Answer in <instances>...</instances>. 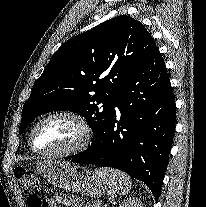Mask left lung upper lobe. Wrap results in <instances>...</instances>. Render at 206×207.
Segmentation results:
<instances>
[{
	"instance_id": "5c2ea615",
	"label": "left lung upper lobe",
	"mask_w": 206,
	"mask_h": 207,
	"mask_svg": "<svg viewBox=\"0 0 206 207\" xmlns=\"http://www.w3.org/2000/svg\"><path fill=\"white\" fill-rule=\"evenodd\" d=\"M156 49L143 24L126 15L68 40L35 82L23 106L20 134L41 114L69 110L87 119L93 145L116 94Z\"/></svg>"
}]
</instances>
